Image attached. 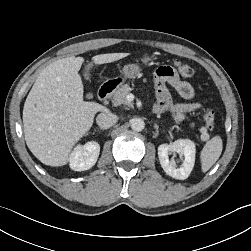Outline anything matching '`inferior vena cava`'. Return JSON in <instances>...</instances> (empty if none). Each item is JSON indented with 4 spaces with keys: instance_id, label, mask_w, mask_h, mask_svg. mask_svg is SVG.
Listing matches in <instances>:
<instances>
[{
    "instance_id": "obj_1",
    "label": "inferior vena cava",
    "mask_w": 251,
    "mask_h": 251,
    "mask_svg": "<svg viewBox=\"0 0 251 251\" xmlns=\"http://www.w3.org/2000/svg\"><path fill=\"white\" fill-rule=\"evenodd\" d=\"M116 122H117V116L109 111L100 113L96 118V123L101 128L111 127Z\"/></svg>"
}]
</instances>
